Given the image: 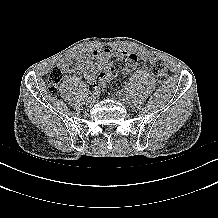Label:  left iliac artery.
<instances>
[{
	"label": "left iliac artery",
	"mask_w": 218,
	"mask_h": 218,
	"mask_svg": "<svg viewBox=\"0 0 218 218\" xmlns=\"http://www.w3.org/2000/svg\"><path fill=\"white\" fill-rule=\"evenodd\" d=\"M119 93H123L124 95L127 93L124 88H119Z\"/></svg>",
	"instance_id": "44dca946"
}]
</instances>
